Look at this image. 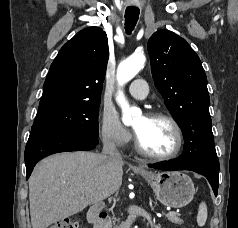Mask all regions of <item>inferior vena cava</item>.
Wrapping results in <instances>:
<instances>
[{
  "label": "inferior vena cava",
  "mask_w": 238,
  "mask_h": 228,
  "mask_svg": "<svg viewBox=\"0 0 238 228\" xmlns=\"http://www.w3.org/2000/svg\"><path fill=\"white\" fill-rule=\"evenodd\" d=\"M102 154L108 156L111 159H121V155L118 152L115 144L110 140L104 141Z\"/></svg>",
  "instance_id": "inferior-vena-cava-1"
}]
</instances>
